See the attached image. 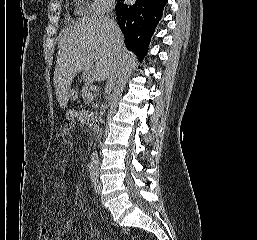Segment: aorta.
I'll list each match as a JSON object with an SVG mask.
<instances>
[{
    "mask_svg": "<svg viewBox=\"0 0 257 240\" xmlns=\"http://www.w3.org/2000/svg\"><path fill=\"white\" fill-rule=\"evenodd\" d=\"M90 169V176L91 179L97 180L98 179V172H99V156L97 151H94L91 155V161L89 164Z\"/></svg>",
    "mask_w": 257,
    "mask_h": 240,
    "instance_id": "762f6f07",
    "label": "aorta"
}]
</instances>
